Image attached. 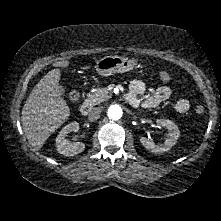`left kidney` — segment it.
I'll use <instances>...</instances> for the list:
<instances>
[{"instance_id":"5707ae66","label":"left kidney","mask_w":221,"mask_h":221,"mask_svg":"<svg viewBox=\"0 0 221 221\" xmlns=\"http://www.w3.org/2000/svg\"><path fill=\"white\" fill-rule=\"evenodd\" d=\"M157 125L163 126L168 129V137L161 145H155L152 141L146 137L140 138V143L149 151L153 153H163L168 151L173 145L176 144L180 131L177 125L169 119H157Z\"/></svg>"}]
</instances>
